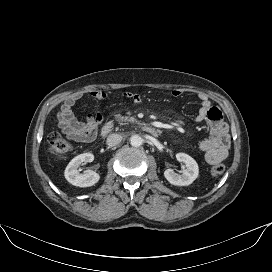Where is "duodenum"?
Masks as SVG:
<instances>
[{
  "instance_id": "duodenum-1",
  "label": "duodenum",
  "mask_w": 272,
  "mask_h": 272,
  "mask_svg": "<svg viewBox=\"0 0 272 272\" xmlns=\"http://www.w3.org/2000/svg\"><path fill=\"white\" fill-rule=\"evenodd\" d=\"M139 127L141 128V130H143L144 132L157 137L159 135V131L158 129H156L155 127L148 125V124H140ZM114 128V124L113 122H107L101 129V135L102 136H106L108 135Z\"/></svg>"
}]
</instances>
